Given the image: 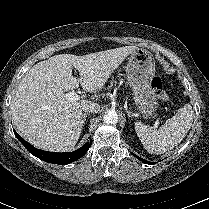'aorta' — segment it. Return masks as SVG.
Masks as SVG:
<instances>
[{
    "label": "aorta",
    "instance_id": "1",
    "mask_svg": "<svg viewBox=\"0 0 209 209\" xmlns=\"http://www.w3.org/2000/svg\"><path fill=\"white\" fill-rule=\"evenodd\" d=\"M103 121L106 124H116L118 122V115L115 111H108L104 115Z\"/></svg>",
    "mask_w": 209,
    "mask_h": 209
}]
</instances>
